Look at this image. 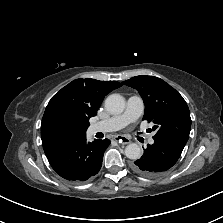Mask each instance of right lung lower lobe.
I'll list each match as a JSON object with an SVG mask.
<instances>
[{
	"mask_svg": "<svg viewBox=\"0 0 223 223\" xmlns=\"http://www.w3.org/2000/svg\"><path fill=\"white\" fill-rule=\"evenodd\" d=\"M110 140L87 142L83 139L58 145L45 152L55 172L69 181L81 182L96 175Z\"/></svg>",
	"mask_w": 223,
	"mask_h": 223,
	"instance_id": "98d812e1",
	"label": "right lung lower lobe"
}]
</instances>
